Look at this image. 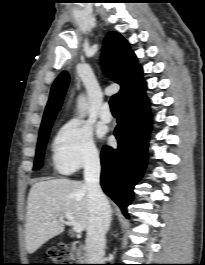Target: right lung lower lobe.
<instances>
[{"instance_id": "obj_1", "label": "right lung lower lobe", "mask_w": 205, "mask_h": 265, "mask_svg": "<svg viewBox=\"0 0 205 265\" xmlns=\"http://www.w3.org/2000/svg\"><path fill=\"white\" fill-rule=\"evenodd\" d=\"M149 100L144 95L137 102L120 108L114 135L118 148L103 147L101 152V186L128 216L133 187L143 175L151 130Z\"/></svg>"}]
</instances>
